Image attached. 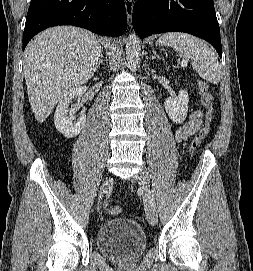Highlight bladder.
Here are the masks:
<instances>
[{
  "label": "bladder",
  "mask_w": 253,
  "mask_h": 271,
  "mask_svg": "<svg viewBox=\"0 0 253 271\" xmlns=\"http://www.w3.org/2000/svg\"><path fill=\"white\" fill-rule=\"evenodd\" d=\"M98 250L118 262L139 258L148 245L143 228L129 218H117L103 223L95 234Z\"/></svg>",
  "instance_id": "1"
}]
</instances>
